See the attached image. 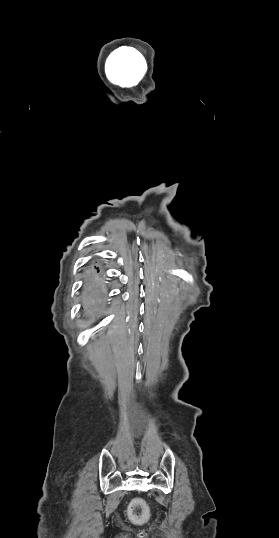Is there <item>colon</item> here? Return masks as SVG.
I'll use <instances>...</instances> for the list:
<instances>
[{"label": "colon", "mask_w": 279, "mask_h": 538, "mask_svg": "<svg viewBox=\"0 0 279 538\" xmlns=\"http://www.w3.org/2000/svg\"><path fill=\"white\" fill-rule=\"evenodd\" d=\"M131 516L135 521H141L147 512L146 505L141 500H135L130 507Z\"/></svg>", "instance_id": "obj_1"}]
</instances>
